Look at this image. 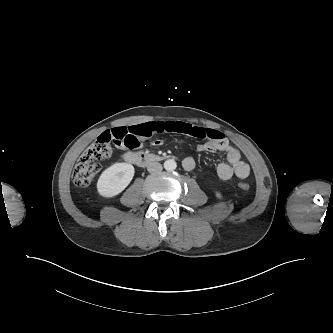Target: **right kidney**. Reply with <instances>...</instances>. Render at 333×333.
Instances as JSON below:
<instances>
[{"mask_svg": "<svg viewBox=\"0 0 333 333\" xmlns=\"http://www.w3.org/2000/svg\"><path fill=\"white\" fill-rule=\"evenodd\" d=\"M135 170L129 163H115L100 175L97 191L104 198H112L121 193L133 179Z\"/></svg>", "mask_w": 333, "mask_h": 333, "instance_id": "1", "label": "right kidney"}]
</instances>
